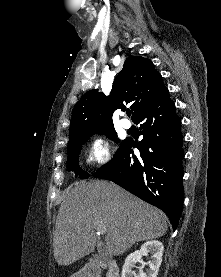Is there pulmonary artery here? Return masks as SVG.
I'll list each match as a JSON object with an SVG mask.
<instances>
[{"instance_id": "obj_1", "label": "pulmonary artery", "mask_w": 221, "mask_h": 277, "mask_svg": "<svg viewBox=\"0 0 221 277\" xmlns=\"http://www.w3.org/2000/svg\"><path fill=\"white\" fill-rule=\"evenodd\" d=\"M120 123H121V126L125 129H129L131 127V123L127 119H122Z\"/></svg>"}]
</instances>
